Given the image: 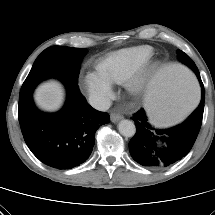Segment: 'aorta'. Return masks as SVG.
Returning <instances> with one entry per match:
<instances>
[{"instance_id": "aorta-1", "label": "aorta", "mask_w": 215, "mask_h": 215, "mask_svg": "<svg viewBox=\"0 0 215 215\" xmlns=\"http://www.w3.org/2000/svg\"><path fill=\"white\" fill-rule=\"evenodd\" d=\"M118 130L125 137H133L136 133L135 124L130 120H121L118 124Z\"/></svg>"}]
</instances>
